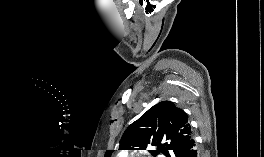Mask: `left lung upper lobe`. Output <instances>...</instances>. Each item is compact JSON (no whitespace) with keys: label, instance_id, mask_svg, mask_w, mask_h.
<instances>
[{"label":"left lung upper lobe","instance_id":"1","mask_svg":"<svg viewBox=\"0 0 264 157\" xmlns=\"http://www.w3.org/2000/svg\"><path fill=\"white\" fill-rule=\"evenodd\" d=\"M192 139L187 114L171 101H162L151 107L142 117L132 123L120 141V150H146L156 156L181 157L182 151ZM107 150L104 157H110Z\"/></svg>","mask_w":264,"mask_h":157}]
</instances>
